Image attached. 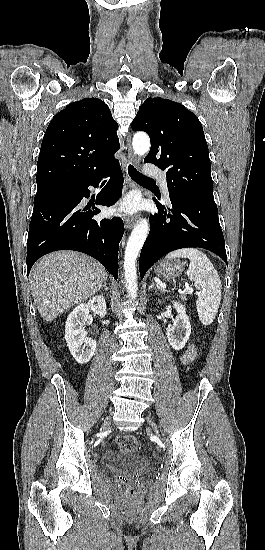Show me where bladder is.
Segmentation results:
<instances>
[{
    "instance_id": "31cf9c89",
    "label": "bladder",
    "mask_w": 265,
    "mask_h": 550,
    "mask_svg": "<svg viewBox=\"0 0 265 550\" xmlns=\"http://www.w3.org/2000/svg\"><path fill=\"white\" fill-rule=\"evenodd\" d=\"M101 465L107 472L143 473L150 460L146 453L127 450H110L102 458Z\"/></svg>"
}]
</instances>
